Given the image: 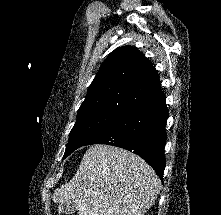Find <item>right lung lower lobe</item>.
Returning a JSON list of instances; mask_svg holds the SVG:
<instances>
[{
  "instance_id": "right-lung-lower-lobe-1",
  "label": "right lung lower lobe",
  "mask_w": 221,
  "mask_h": 215,
  "mask_svg": "<svg viewBox=\"0 0 221 215\" xmlns=\"http://www.w3.org/2000/svg\"><path fill=\"white\" fill-rule=\"evenodd\" d=\"M168 118L165 95L161 91L143 105L120 117L86 145L107 144L132 151L163 177L164 147Z\"/></svg>"
}]
</instances>
